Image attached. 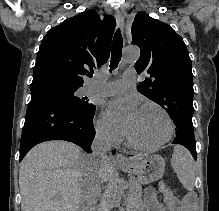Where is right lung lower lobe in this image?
<instances>
[{
	"instance_id": "right-lung-lower-lobe-1",
	"label": "right lung lower lobe",
	"mask_w": 219,
	"mask_h": 211,
	"mask_svg": "<svg viewBox=\"0 0 219 211\" xmlns=\"http://www.w3.org/2000/svg\"><path fill=\"white\" fill-rule=\"evenodd\" d=\"M94 112L95 108L90 111L77 110L52 91H31L21 135L19 161L32 147L49 140L73 142L91 152L95 136Z\"/></svg>"
}]
</instances>
